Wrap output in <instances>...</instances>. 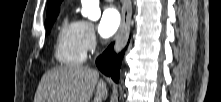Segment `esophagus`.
<instances>
[{"instance_id":"obj_1","label":"esophagus","mask_w":221,"mask_h":102,"mask_svg":"<svg viewBox=\"0 0 221 102\" xmlns=\"http://www.w3.org/2000/svg\"><path fill=\"white\" fill-rule=\"evenodd\" d=\"M132 8L129 0H125L122 11V22L118 34L116 36L115 47L119 51L127 42L130 26H131Z\"/></svg>"}]
</instances>
